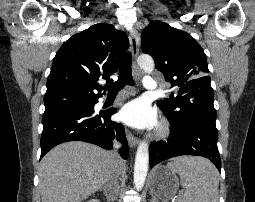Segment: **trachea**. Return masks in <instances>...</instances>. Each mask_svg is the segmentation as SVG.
I'll return each instance as SVG.
<instances>
[{
    "label": "trachea",
    "mask_w": 255,
    "mask_h": 202,
    "mask_svg": "<svg viewBox=\"0 0 255 202\" xmlns=\"http://www.w3.org/2000/svg\"><path fill=\"white\" fill-rule=\"evenodd\" d=\"M131 65H132V56L131 53L128 52L120 65L119 70V78L116 82L111 85L104 87V90L108 91L109 95L117 94L121 89L124 88L125 85H134L132 72H131Z\"/></svg>",
    "instance_id": "3493384b"
}]
</instances>
